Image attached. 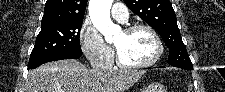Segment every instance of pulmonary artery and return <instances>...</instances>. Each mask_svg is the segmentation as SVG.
I'll use <instances>...</instances> for the list:
<instances>
[{"label":"pulmonary artery","mask_w":225,"mask_h":92,"mask_svg":"<svg viewBox=\"0 0 225 92\" xmlns=\"http://www.w3.org/2000/svg\"><path fill=\"white\" fill-rule=\"evenodd\" d=\"M111 15L114 19L121 23H126L128 21V9L122 3H116L113 5Z\"/></svg>","instance_id":"obj_1"}]
</instances>
